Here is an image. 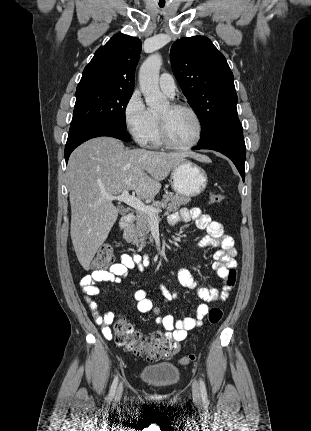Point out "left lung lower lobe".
I'll list each match as a JSON object with an SVG mask.
<instances>
[{
    "label": "left lung lower lobe",
    "mask_w": 311,
    "mask_h": 431,
    "mask_svg": "<svg viewBox=\"0 0 311 431\" xmlns=\"http://www.w3.org/2000/svg\"><path fill=\"white\" fill-rule=\"evenodd\" d=\"M211 149L218 151L233 161L244 181V163L246 158V147L241 126L230 127L215 137L198 143L193 150Z\"/></svg>",
    "instance_id": "left-lung-lower-lobe-1"
}]
</instances>
